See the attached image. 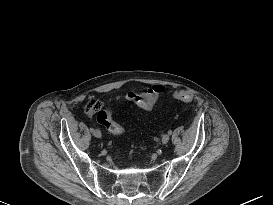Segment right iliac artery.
I'll return each mask as SVG.
<instances>
[{
    "mask_svg": "<svg viewBox=\"0 0 273 205\" xmlns=\"http://www.w3.org/2000/svg\"><path fill=\"white\" fill-rule=\"evenodd\" d=\"M90 131L93 133L94 129H93V128H90Z\"/></svg>",
    "mask_w": 273,
    "mask_h": 205,
    "instance_id": "obj_1",
    "label": "right iliac artery"
}]
</instances>
